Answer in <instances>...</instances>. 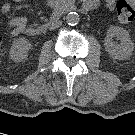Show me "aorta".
<instances>
[{"label":"aorta","mask_w":135,"mask_h":135,"mask_svg":"<svg viewBox=\"0 0 135 135\" xmlns=\"http://www.w3.org/2000/svg\"><path fill=\"white\" fill-rule=\"evenodd\" d=\"M65 20L71 26L76 25L79 22V15L76 12H70L66 15Z\"/></svg>","instance_id":"aorta-1"}]
</instances>
